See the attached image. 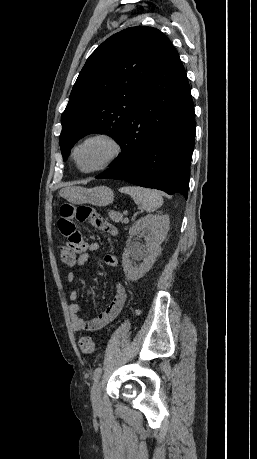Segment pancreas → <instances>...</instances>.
Returning <instances> with one entry per match:
<instances>
[{
	"label": "pancreas",
	"mask_w": 257,
	"mask_h": 459,
	"mask_svg": "<svg viewBox=\"0 0 257 459\" xmlns=\"http://www.w3.org/2000/svg\"><path fill=\"white\" fill-rule=\"evenodd\" d=\"M108 216L115 223L122 222L123 220V215L120 212L109 211Z\"/></svg>",
	"instance_id": "cf45deb5"
}]
</instances>
